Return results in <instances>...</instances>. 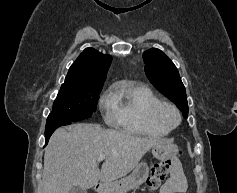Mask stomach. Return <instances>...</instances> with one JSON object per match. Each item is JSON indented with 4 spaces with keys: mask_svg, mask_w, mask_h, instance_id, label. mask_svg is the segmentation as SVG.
<instances>
[{
    "mask_svg": "<svg viewBox=\"0 0 237 193\" xmlns=\"http://www.w3.org/2000/svg\"><path fill=\"white\" fill-rule=\"evenodd\" d=\"M152 154L159 160H165L176 154V147L168 141H163L152 147ZM148 176L149 167L146 162H141L129 176L112 183L102 184L98 193H126L143 184Z\"/></svg>",
    "mask_w": 237,
    "mask_h": 193,
    "instance_id": "obj_1",
    "label": "stomach"
}]
</instances>
